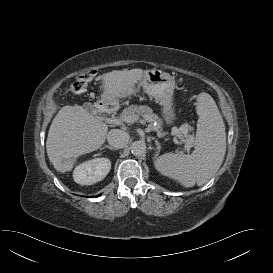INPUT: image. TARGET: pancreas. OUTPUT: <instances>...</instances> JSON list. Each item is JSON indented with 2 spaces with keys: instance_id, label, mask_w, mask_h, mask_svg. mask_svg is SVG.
I'll use <instances>...</instances> for the list:
<instances>
[{
  "instance_id": "pancreas-1",
  "label": "pancreas",
  "mask_w": 273,
  "mask_h": 273,
  "mask_svg": "<svg viewBox=\"0 0 273 273\" xmlns=\"http://www.w3.org/2000/svg\"><path fill=\"white\" fill-rule=\"evenodd\" d=\"M139 117L142 116L144 122H149L151 126L156 122L157 126L155 128L156 131H159L162 125V120L157 116V114L153 113V110L145 105H131L128 108H125L123 112L120 114L121 119H125L127 117ZM189 129H191L187 125H182L179 130V137L183 139L185 142L190 145L193 143L194 138L191 134L188 133Z\"/></svg>"
}]
</instances>
